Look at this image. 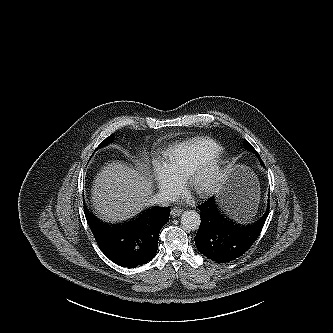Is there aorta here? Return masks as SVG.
I'll list each match as a JSON object with an SVG mask.
<instances>
[{
    "mask_svg": "<svg viewBox=\"0 0 333 333\" xmlns=\"http://www.w3.org/2000/svg\"><path fill=\"white\" fill-rule=\"evenodd\" d=\"M200 222V215L195 210L184 211L181 215V224L187 230H197Z\"/></svg>",
    "mask_w": 333,
    "mask_h": 333,
    "instance_id": "762f6f07",
    "label": "aorta"
}]
</instances>
